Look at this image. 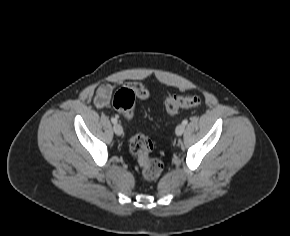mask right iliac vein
<instances>
[{"label": "right iliac vein", "instance_id": "1", "mask_svg": "<svg viewBox=\"0 0 290 236\" xmlns=\"http://www.w3.org/2000/svg\"><path fill=\"white\" fill-rule=\"evenodd\" d=\"M113 129H114V132H115L116 135L120 136V135L123 134V128H122V126L120 124H117V123L114 124Z\"/></svg>", "mask_w": 290, "mask_h": 236}]
</instances>
